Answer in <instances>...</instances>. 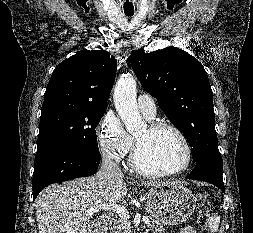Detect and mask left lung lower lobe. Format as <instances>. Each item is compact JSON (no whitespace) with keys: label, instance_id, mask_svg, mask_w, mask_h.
I'll list each match as a JSON object with an SVG mask.
<instances>
[{"label":"left lung lower lobe","instance_id":"left-lung-lower-lobe-1","mask_svg":"<svg viewBox=\"0 0 253 233\" xmlns=\"http://www.w3.org/2000/svg\"><path fill=\"white\" fill-rule=\"evenodd\" d=\"M223 162L212 159H204L198 162L186 179H194L209 182L223 192L225 191L222 179Z\"/></svg>","mask_w":253,"mask_h":233}]
</instances>
